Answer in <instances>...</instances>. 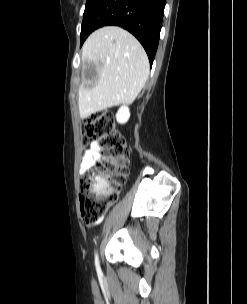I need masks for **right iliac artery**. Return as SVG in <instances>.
<instances>
[{
    "mask_svg": "<svg viewBox=\"0 0 247 304\" xmlns=\"http://www.w3.org/2000/svg\"><path fill=\"white\" fill-rule=\"evenodd\" d=\"M95 266H96V270H97L98 275L101 276L102 272H101V268H100V264H99V259H98V253L97 252L95 254Z\"/></svg>",
    "mask_w": 247,
    "mask_h": 304,
    "instance_id": "obj_1",
    "label": "right iliac artery"
}]
</instances>
